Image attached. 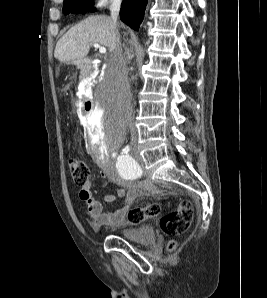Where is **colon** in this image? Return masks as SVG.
Listing matches in <instances>:
<instances>
[{
  "mask_svg": "<svg viewBox=\"0 0 267 298\" xmlns=\"http://www.w3.org/2000/svg\"><path fill=\"white\" fill-rule=\"evenodd\" d=\"M68 167L73 182L78 186H84L89 180V168L80 159L70 158ZM161 207L158 203H150L144 207H135L127 212V221L131 225H137L149 218L160 216ZM193 218L192 205L187 200H181L177 206L165 213L160 218V228L168 236H178L185 233L191 225ZM169 249L176 247V242L171 241Z\"/></svg>",
  "mask_w": 267,
  "mask_h": 298,
  "instance_id": "5ec220e1",
  "label": "colon"
}]
</instances>
